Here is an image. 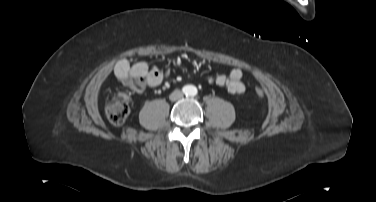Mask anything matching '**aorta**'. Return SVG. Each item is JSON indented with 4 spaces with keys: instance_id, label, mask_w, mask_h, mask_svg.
Returning <instances> with one entry per match:
<instances>
[{
    "instance_id": "aorta-1",
    "label": "aorta",
    "mask_w": 376,
    "mask_h": 202,
    "mask_svg": "<svg viewBox=\"0 0 376 202\" xmlns=\"http://www.w3.org/2000/svg\"><path fill=\"white\" fill-rule=\"evenodd\" d=\"M190 93H191L192 95H195V94L197 93V88L194 87V86H191V88H190Z\"/></svg>"
}]
</instances>
